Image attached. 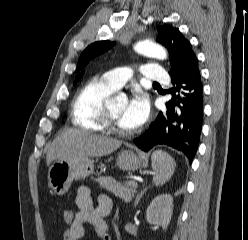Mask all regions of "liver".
<instances>
[{
  "instance_id": "obj_1",
  "label": "liver",
  "mask_w": 248,
  "mask_h": 240,
  "mask_svg": "<svg viewBox=\"0 0 248 240\" xmlns=\"http://www.w3.org/2000/svg\"><path fill=\"white\" fill-rule=\"evenodd\" d=\"M122 142L85 131L69 130L59 135L50 145L46 161L69 160L80 157H102L118 149Z\"/></svg>"
}]
</instances>
